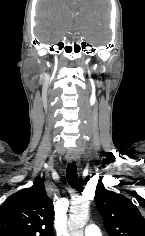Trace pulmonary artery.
<instances>
[{"label":"pulmonary artery","instance_id":"1","mask_svg":"<svg viewBox=\"0 0 145 236\" xmlns=\"http://www.w3.org/2000/svg\"><path fill=\"white\" fill-rule=\"evenodd\" d=\"M85 236H102L100 229L98 226L94 224H90L85 228L84 232Z\"/></svg>","mask_w":145,"mask_h":236}]
</instances>
